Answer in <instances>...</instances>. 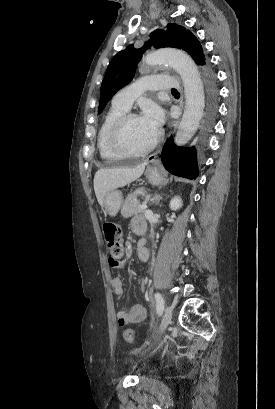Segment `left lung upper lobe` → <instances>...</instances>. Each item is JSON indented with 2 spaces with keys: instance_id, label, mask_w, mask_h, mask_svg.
Here are the masks:
<instances>
[{
  "instance_id": "1",
  "label": "left lung upper lobe",
  "mask_w": 275,
  "mask_h": 409,
  "mask_svg": "<svg viewBox=\"0 0 275 409\" xmlns=\"http://www.w3.org/2000/svg\"><path fill=\"white\" fill-rule=\"evenodd\" d=\"M151 45L156 48L182 49L190 54L197 65L206 64L200 42L189 30L174 23L168 24L165 31L157 29L150 34V39L142 48L135 49L133 45H129L112 58L100 89L99 114L112 96L132 80L143 52Z\"/></svg>"
}]
</instances>
